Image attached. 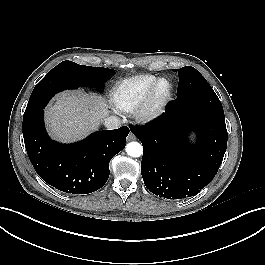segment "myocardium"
<instances>
[{
    "instance_id": "1",
    "label": "myocardium",
    "mask_w": 265,
    "mask_h": 265,
    "mask_svg": "<svg viewBox=\"0 0 265 265\" xmlns=\"http://www.w3.org/2000/svg\"><path fill=\"white\" fill-rule=\"evenodd\" d=\"M162 82H166L168 84V88L160 95L158 93V88ZM172 95V82L166 77L157 78L148 89L141 103L135 109V117L141 123H149L157 119L165 112Z\"/></svg>"
}]
</instances>
